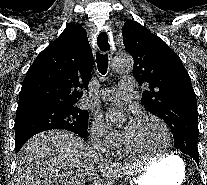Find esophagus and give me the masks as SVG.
Wrapping results in <instances>:
<instances>
[{
	"mask_svg": "<svg viewBox=\"0 0 207 185\" xmlns=\"http://www.w3.org/2000/svg\"><path fill=\"white\" fill-rule=\"evenodd\" d=\"M107 31L108 30H106V32ZM106 32L105 33H98V31H95L94 37H93L95 48H108V49L110 48V43H109L110 42V39H109L110 34L106 33Z\"/></svg>",
	"mask_w": 207,
	"mask_h": 185,
	"instance_id": "34e87169",
	"label": "esophagus"
}]
</instances>
